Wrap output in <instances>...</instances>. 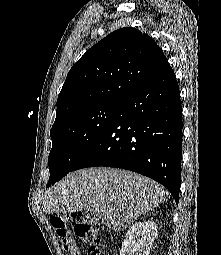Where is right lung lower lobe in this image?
Segmentation results:
<instances>
[{
	"mask_svg": "<svg viewBox=\"0 0 221 255\" xmlns=\"http://www.w3.org/2000/svg\"><path fill=\"white\" fill-rule=\"evenodd\" d=\"M182 128L179 86L167 65L120 103L71 171L94 166L135 171L164 185L178 203Z\"/></svg>",
	"mask_w": 221,
	"mask_h": 255,
	"instance_id": "right-lung-lower-lobe-1",
	"label": "right lung lower lobe"
}]
</instances>
